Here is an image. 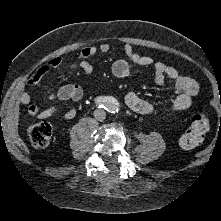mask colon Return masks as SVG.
<instances>
[{
  "instance_id": "1",
  "label": "colon",
  "mask_w": 221,
  "mask_h": 221,
  "mask_svg": "<svg viewBox=\"0 0 221 221\" xmlns=\"http://www.w3.org/2000/svg\"><path fill=\"white\" fill-rule=\"evenodd\" d=\"M209 128V120L206 114L198 113L192 117L189 128L180 137V146L191 149L199 145ZM28 136L32 145L36 148H45L50 144L52 130L49 124L44 122L31 123L28 126Z\"/></svg>"
}]
</instances>
